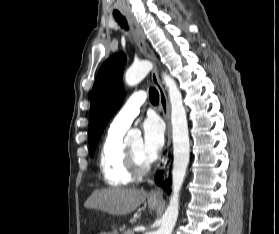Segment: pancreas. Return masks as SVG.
Wrapping results in <instances>:
<instances>
[{"label":"pancreas","instance_id":"1","mask_svg":"<svg viewBox=\"0 0 279 234\" xmlns=\"http://www.w3.org/2000/svg\"><path fill=\"white\" fill-rule=\"evenodd\" d=\"M124 234H133L132 231H126Z\"/></svg>","mask_w":279,"mask_h":234}]
</instances>
